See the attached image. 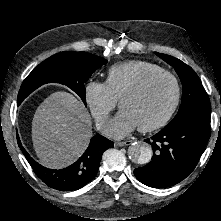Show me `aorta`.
<instances>
[{"mask_svg":"<svg viewBox=\"0 0 221 221\" xmlns=\"http://www.w3.org/2000/svg\"><path fill=\"white\" fill-rule=\"evenodd\" d=\"M130 160L139 165L147 164L153 156L152 147L145 142H134L128 148Z\"/></svg>","mask_w":221,"mask_h":221,"instance_id":"aorta-1","label":"aorta"}]
</instances>
